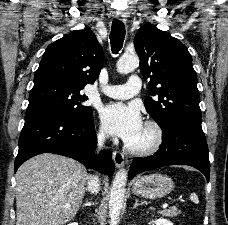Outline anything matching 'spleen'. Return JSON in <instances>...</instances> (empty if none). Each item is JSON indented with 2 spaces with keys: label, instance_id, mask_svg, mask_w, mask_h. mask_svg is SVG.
I'll return each mask as SVG.
<instances>
[{
  "label": "spleen",
  "instance_id": "3e777b00",
  "mask_svg": "<svg viewBox=\"0 0 228 225\" xmlns=\"http://www.w3.org/2000/svg\"><path fill=\"white\" fill-rule=\"evenodd\" d=\"M190 199L193 201V203H198V197L195 195V193H191Z\"/></svg>",
  "mask_w": 228,
  "mask_h": 225
}]
</instances>
